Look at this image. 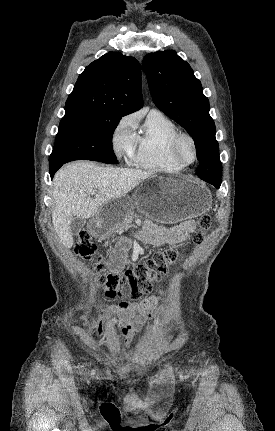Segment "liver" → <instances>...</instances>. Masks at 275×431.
<instances>
[{
  "instance_id": "liver-1",
  "label": "liver",
  "mask_w": 275,
  "mask_h": 431,
  "mask_svg": "<svg viewBox=\"0 0 275 431\" xmlns=\"http://www.w3.org/2000/svg\"><path fill=\"white\" fill-rule=\"evenodd\" d=\"M150 172L114 167H101L89 161L66 164L54 176L52 223L60 242L67 249L73 245L69 227L74 216L93 217L106 203L125 196ZM97 191L95 199L90 197Z\"/></svg>"
}]
</instances>
